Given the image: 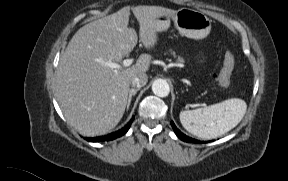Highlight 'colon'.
I'll return each instance as SVG.
<instances>
[{
  "instance_id": "colon-1",
  "label": "colon",
  "mask_w": 288,
  "mask_h": 181,
  "mask_svg": "<svg viewBox=\"0 0 288 181\" xmlns=\"http://www.w3.org/2000/svg\"><path fill=\"white\" fill-rule=\"evenodd\" d=\"M235 68V58L232 53L226 52L219 74L217 75L218 84L222 89L229 88L231 77Z\"/></svg>"
}]
</instances>
